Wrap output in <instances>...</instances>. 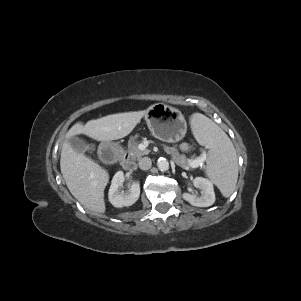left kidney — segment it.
<instances>
[{
	"label": "left kidney",
	"instance_id": "obj_1",
	"mask_svg": "<svg viewBox=\"0 0 301 301\" xmlns=\"http://www.w3.org/2000/svg\"><path fill=\"white\" fill-rule=\"evenodd\" d=\"M193 185L201 190V196L195 194L183 193L182 197L185 201L197 207H209L215 202V193L213 184L210 180L202 177H196Z\"/></svg>",
	"mask_w": 301,
	"mask_h": 301
}]
</instances>
